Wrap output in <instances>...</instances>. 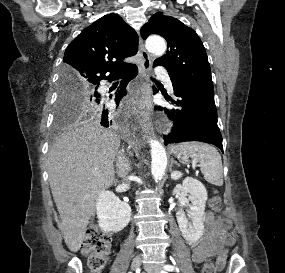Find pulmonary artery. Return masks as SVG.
I'll use <instances>...</instances> for the list:
<instances>
[{
	"instance_id": "obj_1",
	"label": "pulmonary artery",
	"mask_w": 285,
	"mask_h": 273,
	"mask_svg": "<svg viewBox=\"0 0 285 273\" xmlns=\"http://www.w3.org/2000/svg\"><path fill=\"white\" fill-rule=\"evenodd\" d=\"M156 74L165 80L167 88L173 92V86L168 71L163 67H158L156 68Z\"/></svg>"
}]
</instances>
